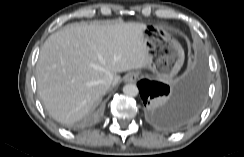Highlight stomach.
Segmentation results:
<instances>
[{
    "label": "stomach",
    "mask_w": 244,
    "mask_h": 157,
    "mask_svg": "<svg viewBox=\"0 0 244 157\" xmlns=\"http://www.w3.org/2000/svg\"><path fill=\"white\" fill-rule=\"evenodd\" d=\"M144 43L148 51L146 68L163 82L170 81L184 63V50L164 28L145 25Z\"/></svg>",
    "instance_id": "0dacf381"
}]
</instances>
